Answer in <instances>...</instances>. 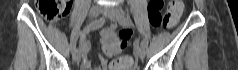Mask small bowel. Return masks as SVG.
Returning <instances> with one entry per match:
<instances>
[{
  "label": "small bowel",
  "mask_w": 238,
  "mask_h": 70,
  "mask_svg": "<svg viewBox=\"0 0 238 70\" xmlns=\"http://www.w3.org/2000/svg\"><path fill=\"white\" fill-rule=\"evenodd\" d=\"M101 47L102 51L107 57L117 56L122 48H121V40L118 38L116 33V25H112L109 28L102 29L101 31ZM81 51L84 57V61L82 64V70H107L108 62L105 58L99 57L100 64L94 68L90 67L87 56L90 52V43L85 38L81 40Z\"/></svg>",
  "instance_id": "small-bowel-1"
}]
</instances>
